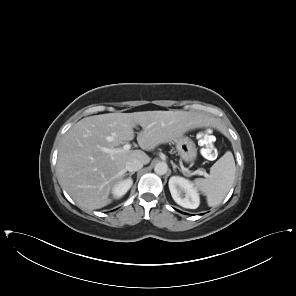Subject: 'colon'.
<instances>
[{
  "mask_svg": "<svg viewBox=\"0 0 296 296\" xmlns=\"http://www.w3.org/2000/svg\"><path fill=\"white\" fill-rule=\"evenodd\" d=\"M200 141L203 146V155L207 159H213L216 156L217 151L212 136L208 132H201Z\"/></svg>",
  "mask_w": 296,
  "mask_h": 296,
  "instance_id": "colon-1",
  "label": "colon"
}]
</instances>
